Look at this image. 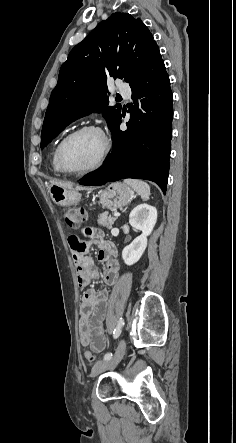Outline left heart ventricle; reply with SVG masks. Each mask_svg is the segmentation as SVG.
Masks as SVG:
<instances>
[{
    "instance_id": "obj_1",
    "label": "left heart ventricle",
    "mask_w": 236,
    "mask_h": 443,
    "mask_svg": "<svg viewBox=\"0 0 236 443\" xmlns=\"http://www.w3.org/2000/svg\"><path fill=\"white\" fill-rule=\"evenodd\" d=\"M103 148L101 136L95 132H83L72 138L63 150L65 165L71 170L92 167L99 159Z\"/></svg>"
}]
</instances>
